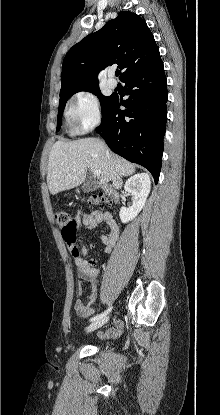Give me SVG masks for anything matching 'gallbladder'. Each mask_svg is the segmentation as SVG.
Segmentation results:
<instances>
[{"mask_svg": "<svg viewBox=\"0 0 220 415\" xmlns=\"http://www.w3.org/2000/svg\"><path fill=\"white\" fill-rule=\"evenodd\" d=\"M96 188H97V184L94 181L90 180L89 178H87L84 181L83 186H82V189L84 192H90V191L95 190Z\"/></svg>", "mask_w": 220, "mask_h": 415, "instance_id": "1", "label": "gallbladder"}]
</instances>
